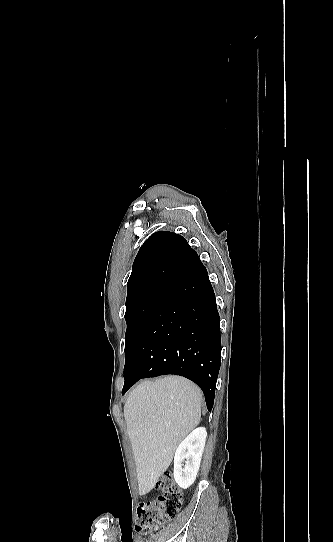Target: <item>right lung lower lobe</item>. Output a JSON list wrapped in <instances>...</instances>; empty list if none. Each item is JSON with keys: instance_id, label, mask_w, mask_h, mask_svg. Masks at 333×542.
<instances>
[{"instance_id": "1", "label": "right lung lower lobe", "mask_w": 333, "mask_h": 542, "mask_svg": "<svg viewBox=\"0 0 333 542\" xmlns=\"http://www.w3.org/2000/svg\"><path fill=\"white\" fill-rule=\"evenodd\" d=\"M165 262L188 273L157 304L124 368L122 394L138 380L175 374L195 382L213 407L220 369V316L206 268L197 253L171 249Z\"/></svg>"}]
</instances>
